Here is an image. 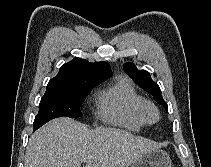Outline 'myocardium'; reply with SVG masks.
I'll list each match as a JSON object with an SVG mask.
<instances>
[{
    "label": "myocardium",
    "mask_w": 211,
    "mask_h": 167,
    "mask_svg": "<svg viewBox=\"0 0 211 167\" xmlns=\"http://www.w3.org/2000/svg\"><path fill=\"white\" fill-rule=\"evenodd\" d=\"M141 113L146 123L155 124L160 120V111L151 101H144Z\"/></svg>",
    "instance_id": "myocardium-1"
}]
</instances>
